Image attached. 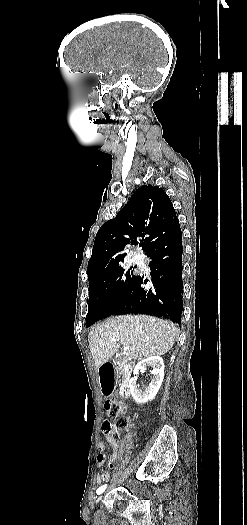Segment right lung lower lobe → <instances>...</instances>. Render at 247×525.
Returning a JSON list of instances; mask_svg holds the SVG:
<instances>
[{
    "mask_svg": "<svg viewBox=\"0 0 247 525\" xmlns=\"http://www.w3.org/2000/svg\"><path fill=\"white\" fill-rule=\"evenodd\" d=\"M151 282L136 276L114 314L143 313L180 322L182 302V233L180 225L150 244ZM147 288H141V284Z\"/></svg>",
    "mask_w": 247,
    "mask_h": 525,
    "instance_id": "right-lung-lower-lobe-1",
    "label": "right lung lower lobe"
}]
</instances>
